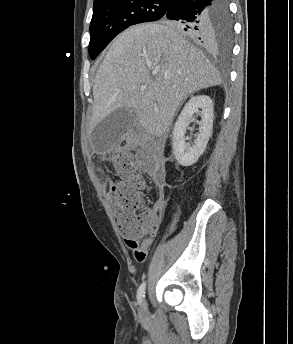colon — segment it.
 I'll list each match as a JSON object with an SVG mask.
<instances>
[{"label":"colon","mask_w":293,"mask_h":344,"mask_svg":"<svg viewBox=\"0 0 293 344\" xmlns=\"http://www.w3.org/2000/svg\"><path fill=\"white\" fill-rule=\"evenodd\" d=\"M107 161L121 178L111 189V205L120 232L129 239L154 237L159 212L148 208L142 199L145 182L139 168L131 156L120 152L111 153Z\"/></svg>","instance_id":"5ec220e1"}]
</instances>
